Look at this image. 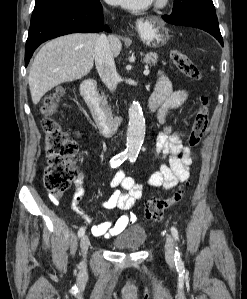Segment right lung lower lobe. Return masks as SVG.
<instances>
[{"label":"right lung lower lobe","mask_w":247,"mask_h":299,"mask_svg":"<svg viewBox=\"0 0 247 299\" xmlns=\"http://www.w3.org/2000/svg\"><path fill=\"white\" fill-rule=\"evenodd\" d=\"M111 32L103 23L102 6L99 0L59 9L29 28L25 50V66L28 65L35 49L43 42L75 32Z\"/></svg>","instance_id":"98d812e1"}]
</instances>
